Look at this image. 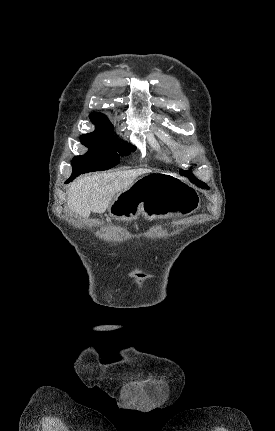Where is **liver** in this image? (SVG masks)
I'll return each mask as SVG.
<instances>
[{"instance_id": "6515ba94", "label": "liver", "mask_w": 275, "mask_h": 431, "mask_svg": "<svg viewBox=\"0 0 275 431\" xmlns=\"http://www.w3.org/2000/svg\"><path fill=\"white\" fill-rule=\"evenodd\" d=\"M150 172L148 169H134L82 177L70 186L68 208L82 218L89 217L91 212L103 213L117 194L126 190L139 176Z\"/></svg>"}]
</instances>
